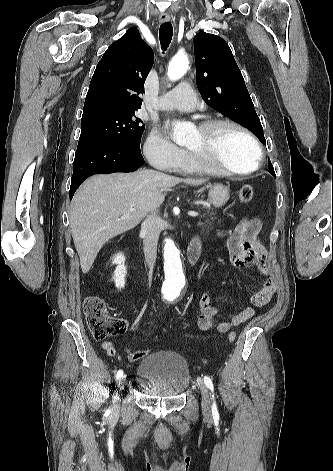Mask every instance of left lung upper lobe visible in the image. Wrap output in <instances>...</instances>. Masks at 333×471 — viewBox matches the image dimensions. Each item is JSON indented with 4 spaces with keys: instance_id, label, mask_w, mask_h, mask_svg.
<instances>
[{
    "instance_id": "left-lung-upper-lobe-1",
    "label": "left lung upper lobe",
    "mask_w": 333,
    "mask_h": 471,
    "mask_svg": "<svg viewBox=\"0 0 333 471\" xmlns=\"http://www.w3.org/2000/svg\"><path fill=\"white\" fill-rule=\"evenodd\" d=\"M196 83L204 101L253 132L266 144L263 128L231 49L219 36H194ZM269 172L276 177L272 163Z\"/></svg>"
}]
</instances>
